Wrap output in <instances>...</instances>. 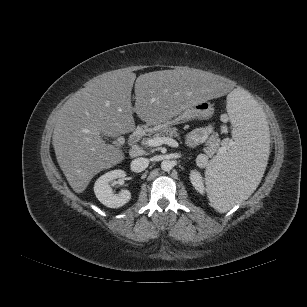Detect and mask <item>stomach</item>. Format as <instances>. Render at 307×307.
Segmentation results:
<instances>
[{"instance_id": "0dacf381", "label": "stomach", "mask_w": 307, "mask_h": 307, "mask_svg": "<svg viewBox=\"0 0 307 307\" xmlns=\"http://www.w3.org/2000/svg\"><path fill=\"white\" fill-rule=\"evenodd\" d=\"M205 105V106H204ZM213 113L212 105L207 101H199L183 109L180 113L165 120H150L146 122L145 129L148 132H157L163 127L176 125L191 119H205Z\"/></svg>"}]
</instances>
